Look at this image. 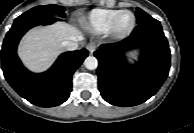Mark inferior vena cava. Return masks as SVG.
Returning <instances> with one entry per match:
<instances>
[{"mask_svg":"<svg viewBox=\"0 0 194 133\" xmlns=\"http://www.w3.org/2000/svg\"><path fill=\"white\" fill-rule=\"evenodd\" d=\"M79 39L82 40V37H79ZM62 46L67 50L72 51L78 48V43L76 41H64L62 42Z\"/></svg>","mask_w":194,"mask_h":133,"instance_id":"inferior-vena-cava-1","label":"inferior vena cava"}]
</instances>
